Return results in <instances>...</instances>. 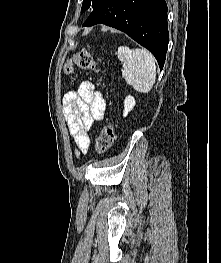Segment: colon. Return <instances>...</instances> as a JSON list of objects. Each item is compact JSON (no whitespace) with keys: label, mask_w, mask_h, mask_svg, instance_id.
I'll list each match as a JSON object with an SVG mask.
<instances>
[{"label":"colon","mask_w":221,"mask_h":263,"mask_svg":"<svg viewBox=\"0 0 221 263\" xmlns=\"http://www.w3.org/2000/svg\"><path fill=\"white\" fill-rule=\"evenodd\" d=\"M73 65L84 70L98 71L97 64L92 53L86 49L79 50L72 59L67 62L65 70L70 72ZM115 141V129L112 124H107L101 130L96 140V150L99 153L106 152Z\"/></svg>","instance_id":"obj_1"}]
</instances>
